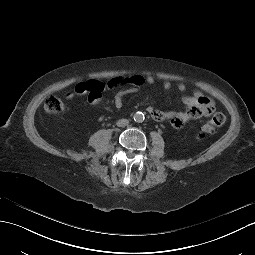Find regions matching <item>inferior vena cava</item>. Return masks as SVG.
<instances>
[{
    "mask_svg": "<svg viewBox=\"0 0 255 255\" xmlns=\"http://www.w3.org/2000/svg\"><path fill=\"white\" fill-rule=\"evenodd\" d=\"M129 124V121L127 119H120L117 121L116 125L118 127H125Z\"/></svg>",
    "mask_w": 255,
    "mask_h": 255,
    "instance_id": "1",
    "label": "inferior vena cava"
}]
</instances>
